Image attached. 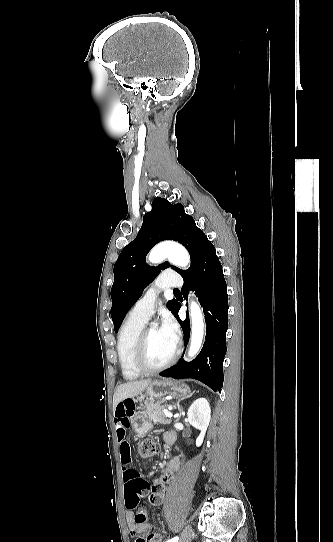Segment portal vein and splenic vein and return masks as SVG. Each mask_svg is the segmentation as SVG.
<instances>
[{
    "label": "portal vein and splenic vein",
    "mask_w": 333,
    "mask_h": 542,
    "mask_svg": "<svg viewBox=\"0 0 333 542\" xmlns=\"http://www.w3.org/2000/svg\"><path fill=\"white\" fill-rule=\"evenodd\" d=\"M163 414H165V416H167V418H172L173 414H171V412H169V410H163Z\"/></svg>",
    "instance_id": "portal-vein-and-splenic-vein-1"
}]
</instances>
